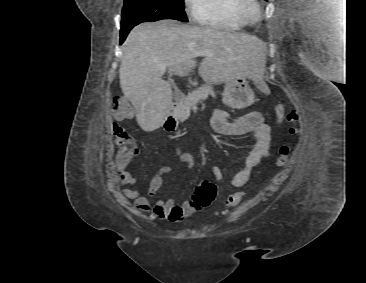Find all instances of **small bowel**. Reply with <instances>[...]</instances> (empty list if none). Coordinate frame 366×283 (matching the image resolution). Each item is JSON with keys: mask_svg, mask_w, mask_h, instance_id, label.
Listing matches in <instances>:
<instances>
[{"mask_svg": "<svg viewBox=\"0 0 366 283\" xmlns=\"http://www.w3.org/2000/svg\"><path fill=\"white\" fill-rule=\"evenodd\" d=\"M212 124L215 131L223 136H237L250 134L253 137V146L245 158L244 168L238 171L230 180L229 185L232 187H241L249 180L251 171L255 168L260 160L269 153L271 132L270 127L264 121L263 114L258 111L246 113L234 120H229L227 113L222 109H216L212 118ZM180 160L191 168L194 164L193 157L181 149H177ZM170 171V168L164 166L160 168L152 177L147 194L141 191L125 188L123 194L126 198L133 201L135 207L141 212L150 211V199L156 195L163 183V176ZM213 173L217 180H222L221 169L218 166L213 167ZM119 182L122 186H132L137 182L126 168V165L118 164ZM194 209L190 203L183 202L176 204L172 199L158 200L153 208L152 214L161 220L170 222H178L185 216L194 213Z\"/></svg>", "mask_w": 366, "mask_h": 283, "instance_id": "c3829d8e", "label": "small bowel"}]
</instances>
